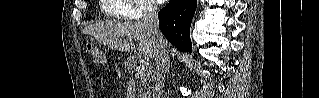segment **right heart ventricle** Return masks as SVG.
<instances>
[{"label":"right heart ventricle","instance_id":"obj_1","mask_svg":"<svg viewBox=\"0 0 319 98\" xmlns=\"http://www.w3.org/2000/svg\"><path fill=\"white\" fill-rule=\"evenodd\" d=\"M129 7L127 0H104L103 11L108 17L119 18Z\"/></svg>","mask_w":319,"mask_h":98}]
</instances>
